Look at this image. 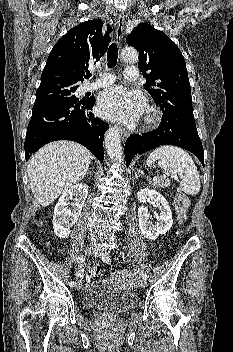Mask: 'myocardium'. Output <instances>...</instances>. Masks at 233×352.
<instances>
[{
  "label": "myocardium",
  "mask_w": 233,
  "mask_h": 352,
  "mask_svg": "<svg viewBox=\"0 0 233 352\" xmlns=\"http://www.w3.org/2000/svg\"><path fill=\"white\" fill-rule=\"evenodd\" d=\"M160 118V114L158 110L154 107H147L145 116H144V122L146 125H153L155 124Z\"/></svg>",
  "instance_id": "obj_1"
}]
</instances>
